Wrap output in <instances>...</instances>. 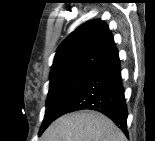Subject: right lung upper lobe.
<instances>
[{"label": "right lung upper lobe", "instance_id": "1", "mask_svg": "<svg viewBox=\"0 0 155 141\" xmlns=\"http://www.w3.org/2000/svg\"><path fill=\"white\" fill-rule=\"evenodd\" d=\"M114 50L113 36L105 22L88 21L59 46L50 77L78 68L95 70Z\"/></svg>", "mask_w": 155, "mask_h": 141}]
</instances>
